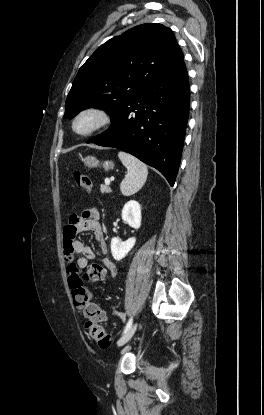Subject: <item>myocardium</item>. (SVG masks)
Here are the masks:
<instances>
[{"label":"myocardium","mask_w":264,"mask_h":415,"mask_svg":"<svg viewBox=\"0 0 264 415\" xmlns=\"http://www.w3.org/2000/svg\"><path fill=\"white\" fill-rule=\"evenodd\" d=\"M85 116L93 117L94 123L87 130L80 131L77 129V124L80 121V119H82ZM111 122H112V116L107 110L100 108V107L90 106V107L83 108L79 112L76 113V115L74 116L72 120L71 127L75 134L79 136H83V137H88L105 129L111 124Z\"/></svg>","instance_id":"f54148a6"}]
</instances>
